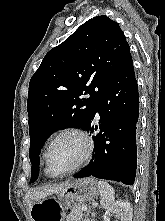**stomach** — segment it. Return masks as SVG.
<instances>
[{"label": "stomach", "mask_w": 165, "mask_h": 221, "mask_svg": "<svg viewBox=\"0 0 165 221\" xmlns=\"http://www.w3.org/2000/svg\"><path fill=\"white\" fill-rule=\"evenodd\" d=\"M97 195L98 186L93 178L72 180L58 192L59 200H36L31 217H71L76 202L85 203ZM34 221H70V218H34Z\"/></svg>", "instance_id": "stomach-1"}]
</instances>
